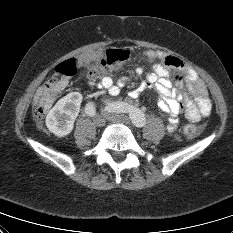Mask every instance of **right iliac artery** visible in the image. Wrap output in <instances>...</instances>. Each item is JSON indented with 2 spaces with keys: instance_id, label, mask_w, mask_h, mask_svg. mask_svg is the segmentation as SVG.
I'll return each instance as SVG.
<instances>
[{
  "instance_id": "right-iliac-artery-1",
  "label": "right iliac artery",
  "mask_w": 233,
  "mask_h": 233,
  "mask_svg": "<svg viewBox=\"0 0 233 233\" xmlns=\"http://www.w3.org/2000/svg\"><path fill=\"white\" fill-rule=\"evenodd\" d=\"M85 113L88 115V116H94L96 114V109H95V105L93 102H90L86 105L85 107Z\"/></svg>"
}]
</instances>
